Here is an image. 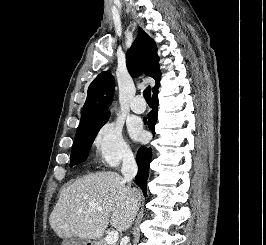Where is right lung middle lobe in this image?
Returning <instances> with one entry per match:
<instances>
[{
    "label": "right lung middle lobe",
    "mask_w": 266,
    "mask_h": 245,
    "mask_svg": "<svg viewBox=\"0 0 266 245\" xmlns=\"http://www.w3.org/2000/svg\"><path fill=\"white\" fill-rule=\"evenodd\" d=\"M108 119L109 115L79 125L72 147L70 167L87 159L98 131Z\"/></svg>",
    "instance_id": "1"
}]
</instances>
